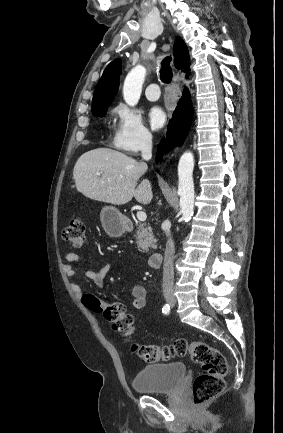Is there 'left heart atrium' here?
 <instances>
[{"label": "left heart atrium", "instance_id": "obj_1", "mask_svg": "<svg viewBox=\"0 0 283 433\" xmlns=\"http://www.w3.org/2000/svg\"><path fill=\"white\" fill-rule=\"evenodd\" d=\"M149 124L153 130H158L163 127L166 115L165 112L159 107H153L149 111Z\"/></svg>", "mask_w": 283, "mask_h": 433}]
</instances>
